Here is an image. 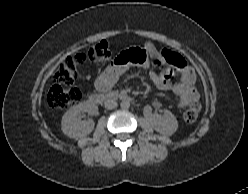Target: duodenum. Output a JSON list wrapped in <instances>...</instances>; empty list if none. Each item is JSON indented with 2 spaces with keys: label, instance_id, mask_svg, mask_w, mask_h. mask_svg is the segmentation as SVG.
I'll list each match as a JSON object with an SVG mask.
<instances>
[{
  "label": "duodenum",
  "instance_id": "410a0bca",
  "mask_svg": "<svg viewBox=\"0 0 248 194\" xmlns=\"http://www.w3.org/2000/svg\"><path fill=\"white\" fill-rule=\"evenodd\" d=\"M130 96L121 92H96L90 95V101L94 104H102L109 100H128Z\"/></svg>",
  "mask_w": 248,
  "mask_h": 194
}]
</instances>
